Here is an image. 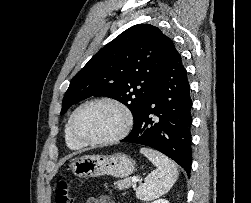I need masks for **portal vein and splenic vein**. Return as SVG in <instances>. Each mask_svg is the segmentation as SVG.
Returning <instances> with one entry per match:
<instances>
[{"mask_svg": "<svg viewBox=\"0 0 251 203\" xmlns=\"http://www.w3.org/2000/svg\"><path fill=\"white\" fill-rule=\"evenodd\" d=\"M132 182H133V183H137V182H138V178H137V177H133V178H132Z\"/></svg>", "mask_w": 251, "mask_h": 203, "instance_id": "obj_1", "label": "portal vein and splenic vein"}]
</instances>
